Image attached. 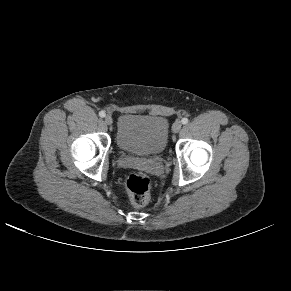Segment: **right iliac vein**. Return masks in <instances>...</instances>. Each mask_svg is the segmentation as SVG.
Segmentation results:
<instances>
[{"mask_svg": "<svg viewBox=\"0 0 291 291\" xmlns=\"http://www.w3.org/2000/svg\"><path fill=\"white\" fill-rule=\"evenodd\" d=\"M104 121H105V123H106L107 125H111V124L113 123V119H112V117L109 116V115H107V116L105 117Z\"/></svg>", "mask_w": 291, "mask_h": 291, "instance_id": "63e3f726", "label": "right iliac vein"}]
</instances>
